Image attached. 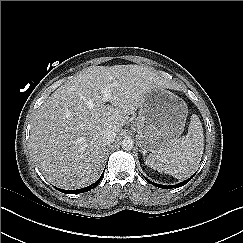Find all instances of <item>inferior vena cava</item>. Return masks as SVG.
Returning a JSON list of instances; mask_svg holds the SVG:
<instances>
[{
    "mask_svg": "<svg viewBox=\"0 0 243 243\" xmlns=\"http://www.w3.org/2000/svg\"><path fill=\"white\" fill-rule=\"evenodd\" d=\"M116 136L117 130L113 127H108L103 131L101 138L106 145H109L114 142Z\"/></svg>",
    "mask_w": 243,
    "mask_h": 243,
    "instance_id": "inferior-vena-cava-1",
    "label": "inferior vena cava"
}]
</instances>
